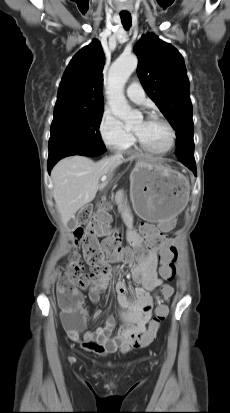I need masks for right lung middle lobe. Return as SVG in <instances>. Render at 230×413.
<instances>
[{
  "instance_id": "1",
  "label": "right lung middle lobe",
  "mask_w": 230,
  "mask_h": 413,
  "mask_svg": "<svg viewBox=\"0 0 230 413\" xmlns=\"http://www.w3.org/2000/svg\"><path fill=\"white\" fill-rule=\"evenodd\" d=\"M103 110L54 114L49 139V158L67 151L104 150L99 126Z\"/></svg>"
}]
</instances>
